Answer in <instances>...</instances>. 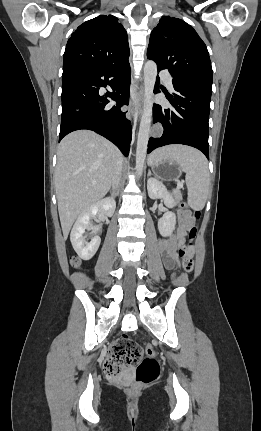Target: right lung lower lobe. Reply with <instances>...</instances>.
Wrapping results in <instances>:
<instances>
[{"mask_svg":"<svg viewBox=\"0 0 261 431\" xmlns=\"http://www.w3.org/2000/svg\"><path fill=\"white\" fill-rule=\"evenodd\" d=\"M109 78H112L109 82ZM129 62L115 67H76L62 74V119L59 141L68 133L88 129L113 142L129 154L131 122L121 110L129 103ZM113 92L99 94L101 86L110 85ZM107 98L116 101L109 107Z\"/></svg>","mask_w":261,"mask_h":431,"instance_id":"1","label":"right lung lower lobe"}]
</instances>
